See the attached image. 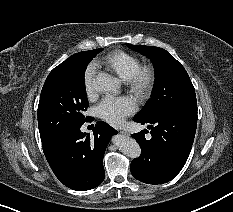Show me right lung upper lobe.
<instances>
[{
    "label": "right lung upper lobe",
    "instance_id": "obj_1",
    "mask_svg": "<svg viewBox=\"0 0 233 212\" xmlns=\"http://www.w3.org/2000/svg\"><path fill=\"white\" fill-rule=\"evenodd\" d=\"M86 52H87V51H83V52H80V53H76V54L70 56V57H69L67 60H65L64 62L71 60L73 57H75V56H77V55H83V54H85Z\"/></svg>",
    "mask_w": 233,
    "mask_h": 212
}]
</instances>
